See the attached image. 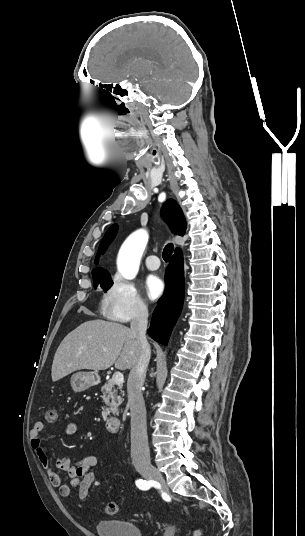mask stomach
<instances>
[{
    "label": "stomach",
    "mask_w": 305,
    "mask_h": 536,
    "mask_svg": "<svg viewBox=\"0 0 305 536\" xmlns=\"http://www.w3.org/2000/svg\"><path fill=\"white\" fill-rule=\"evenodd\" d=\"M70 382L74 392H84L91 386L99 384L100 378L94 372H77L71 376Z\"/></svg>",
    "instance_id": "stomach-1"
}]
</instances>
